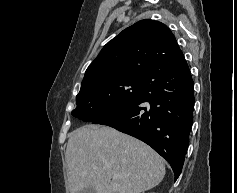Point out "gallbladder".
Wrapping results in <instances>:
<instances>
[{
    "label": "gallbladder",
    "mask_w": 237,
    "mask_h": 193,
    "mask_svg": "<svg viewBox=\"0 0 237 193\" xmlns=\"http://www.w3.org/2000/svg\"><path fill=\"white\" fill-rule=\"evenodd\" d=\"M78 193H96V190L90 186V187L82 189Z\"/></svg>",
    "instance_id": "obj_1"
}]
</instances>
